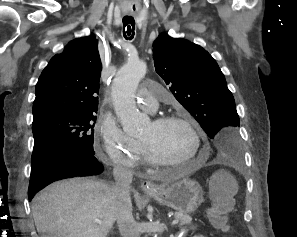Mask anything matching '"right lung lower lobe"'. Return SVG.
Returning <instances> with one entry per match:
<instances>
[{"label":"right lung lower lobe","mask_w":297,"mask_h":237,"mask_svg":"<svg viewBox=\"0 0 297 237\" xmlns=\"http://www.w3.org/2000/svg\"><path fill=\"white\" fill-rule=\"evenodd\" d=\"M90 153L72 146H56L39 151L32 156L28 197L50 183L77 176H96L103 165Z\"/></svg>","instance_id":"right-lung-lower-lobe-1"}]
</instances>
